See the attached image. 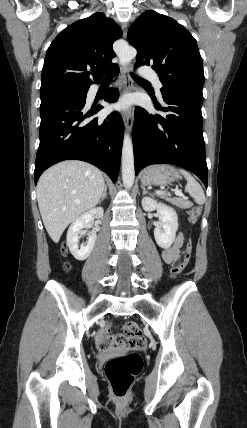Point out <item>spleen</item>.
<instances>
[{
    "label": "spleen",
    "instance_id": "3e777b00",
    "mask_svg": "<svg viewBox=\"0 0 247 428\" xmlns=\"http://www.w3.org/2000/svg\"><path fill=\"white\" fill-rule=\"evenodd\" d=\"M180 172L187 180L185 191L188 192L193 197L194 201L197 204H200V205L204 204L206 199H205L204 191L200 186V184L193 178V176L189 172L185 170H181Z\"/></svg>",
    "mask_w": 247,
    "mask_h": 428
}]
</instances>
